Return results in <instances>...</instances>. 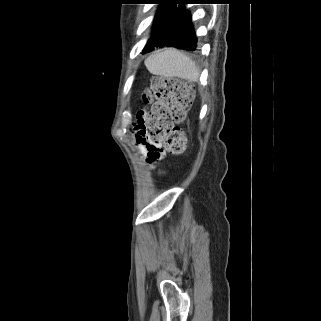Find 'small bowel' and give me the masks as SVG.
Segmentation results:
<instances>
[{"label": "small bowel", "instance_id": "obj_1", "mask_svg": "<svg viewBox=\"0 0 321 321\" xmlns=\"http://www.w3.org/2000/svg\"><path fill=\"white\" fill-rule=\"evenodd\" d=\"M148 114L146 112H139L137 114V118L134 122V129H135V140L138 146V149L147 155V158L150 163L157 161L162 158L159 157L158 159L151 157V151L153 150V140L151 138V134L149 131V127L147 125V118ZM153 168V165H151ZM161 173V172H160Z\"/></svg>", "mask_w": 321, "mask_h": 321}]
</instances>
